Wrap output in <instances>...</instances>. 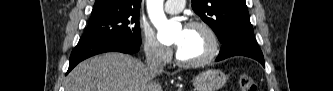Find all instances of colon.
I'll return each instance as SVG.
<instances>
[{
    "instance_id": "obj_1",
    "label": "colon",
    "mask_w": 333,
    "mask_h": 91,
    "mask_svg": "<svg viewBox=\"0 0 333 91\" xmlns=\"http://www.w3.org/2000/svg\"><path fill=\"white\" fill-rule=\"evenodd\" d=\"M239 87L241 91H257V85L251 76L242 74L239 77Z\"/></svg>"
}]
</instances>
